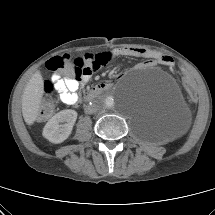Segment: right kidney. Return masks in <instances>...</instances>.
I'll use <instances>...</instances> for the list:
<instances>
[{
    "label": "right kidney",
    "instance_id": "obj_1",
    "mask_svg": "<svg viewBox=\"0 0 215 215\" xmlns=\"http://www.w3.org/2000/svg\"><path fill=\"white\" fill-rule=\"evenodd\" d=\"M77 112L71 109L55 114L45 125L43 136L52 143H62L72 132Z\"/></svg>",
    "mask_w": 215,
    "mask_h": 215
}]
</instances>
